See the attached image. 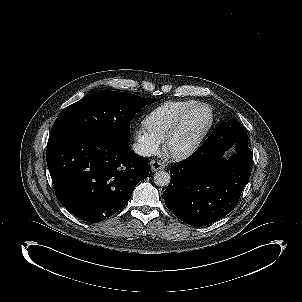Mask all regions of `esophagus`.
I'll list each match as a JSON object with an SVG mask.
<instances>
[{
  "label": "esophagus",
  "instance_id": "34e87169",
  "mask_svg": "<svg viewBox=\"0 0 302 302\" xmlns=\"http://www.w3.org/2000/svg\"><path fill=\"white\" fill-rule=\"evenodd\" d=\"M150 165H151V170L153 172L164 169V164L161 161H158V160H152L150 162Z\"/></svg>",
  "mask_w": 302,
  "mask_h": 302
}]
</instances>
